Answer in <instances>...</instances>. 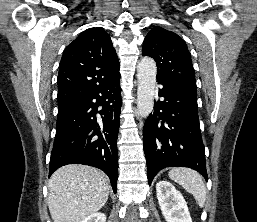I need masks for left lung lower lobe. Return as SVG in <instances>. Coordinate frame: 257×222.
<instances>
[{
    "label": "left lung lower lobe",
    "mask_w": 257,
    "mask_h": 222,
    "mask_svg": "<svg viewBox=\"0 0 257 222\" xmlns=\"http://www.w3.org/2000/svg\"><path fill=\"white\" fill-rule=\"evenodd\" d=\"M157 82L164 100L155 102L143 128L149 184L160 170L173 166L192 168L208 180L197 94L161 77Z\"/></svg>",
    "instance_id": "obj_1"
}]
</instances>
